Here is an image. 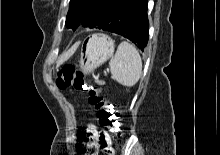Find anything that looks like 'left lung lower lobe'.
<instances>
[{"label":"left lung lower lobe","mask_w":220,"mask_h":155,"mask_svg":"<svg viewBox=\"0 0 220 155\" xmlns=\"http://www.w3.org/2000/svg\"><path fill=\"white\" fill-rule=\"evenodd\" d=\"M80 25L119 34L143 50L149 36L147 0H97Z\"/></svg>","instance_id":"0a47b994"}]
</instances>
